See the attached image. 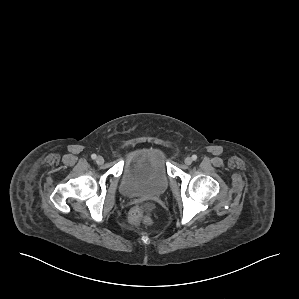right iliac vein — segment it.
Listing matches in <instances>:
<instances>
[{
	"mask_svg": "<svg viewBox=\"0 0 299 299\" xmlns=\"http://www.w3.org/2000/svg\"><path fill=\"white\" fill-rule=\"evenodd\" d=\"M96 163L99 164V165L103 164L104 163V158L102 156H98L96 158Z\"/></svg>",
	"mask_w": 299,
	"mask_h": 299,
	"instance_id": "63e3f726",
	"label": "right iliac vein"
}]
</instances>
